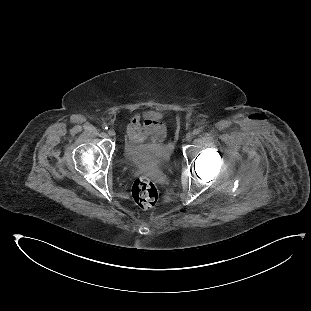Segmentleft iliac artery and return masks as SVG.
Returning a JSON list of instances; mask_svg holds the SVG:
<instances>
[{"instance_id": "obj_1", "label": "left iliac artery", "mask_w": 311, "mask_h": 311, "mask_svg": "<svg viewBox=\"0 0 311 311\" xmlns=\"http://www.w3.org/2000/svg\"><path fill=\"white\" fill-rule=\"evenodd\" d=\"M200 133V130L199 129H194V131H193V134L194 135H198Z\"/></svg>"}]
</instances>
